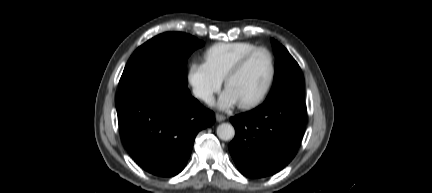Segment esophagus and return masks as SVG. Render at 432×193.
Returning a JSON list of instances; mask_svg holds the SVG:
<instances>
[{
	"label": "esophagus",
	"mask_w": 432,
	"mask_h": 193,
	"mask_svg": "<svg viewBox=\"0 0 432 193\" xmlns=\"http://www.w3.org/2000/svg\"><path fill=\"white\" fill-rule=\"evenodd\" d=\"M215 117H216V120L218 122H222V121H224L226 119V117L224 115H221V114H218V113L215 115Z\"/></svg>",
	"instance_id": "1"
}]
</instances>
